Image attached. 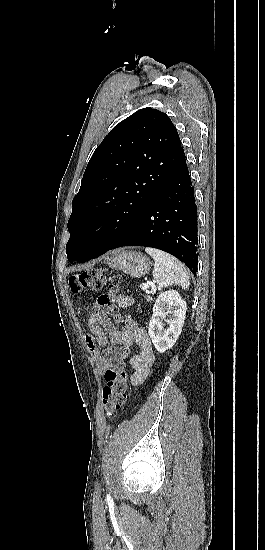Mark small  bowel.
<instances>
[{
    "mask_svg": "<svg viewBox=\"0 0 265 550\" xmlns=\"http://www.w3.org/2000/svg\"><path fill=\"white\" fill-rule=\"evenodd\" d=\"M119 303L127 306L130 299L120 296ZM87 325L88 348L95 361L96 372L105 375L108 368H113L115 363L128 358L133 368L130 384H141L155 361L152 343L146 331L129 317L126 319V327L118 328L99 310H94L88 315ZM133 344L137 345L139 351L135 355H130ZM99 348H102L101 353Z\"/></svg>",
    "mask_w": 265,
    "mask_h": 550,
    "instance_id": "obj_1",
    "label": "small bowel"
}]
</instances>
